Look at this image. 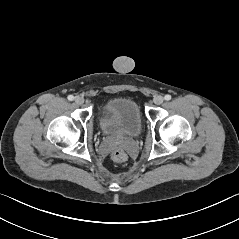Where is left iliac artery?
<instances>
[{
	"mask_svg": "<svg viewBox=\"0 0 239 239\" xmlns=\"http://www.w3.org/2000/svg\"><path fill=\"white\" fill-rule=\"evenodd\" d=\"M164 98H165L166 101H169V100H171V95L167 94V95H165Z\"/></svg>",
	"mask_w": 239,
	"mask_h": 239,
	"instance_id": "1",
	"label": "left iliac artery"
}]
</instances>
